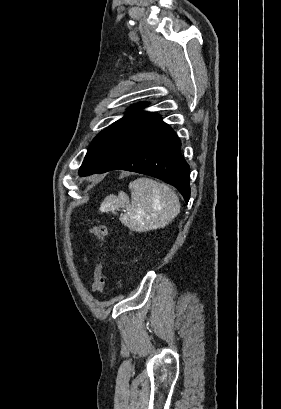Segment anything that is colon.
<instances>
[{
    "label": "colon",
    "instance_id": "5ec220e1",
    "mask_svg": "<svg viewBox=\"0 0 281 409\" xmlns=\"http://www.w3.org/2000/svg\"><path fill=\"white\" fill-rule=\"evenodd\" d=\"M91 232L97 237L100 247L105 244L106 237L108 235L107 226L102 223H97L90 228ZM105 285V275L103 262L99 261L96 266L95 280H94V291L96 296H101L103 294Z\"/></svg>",
    "mask_w": 281,
    "mask_h": 409
}]
</instances>
